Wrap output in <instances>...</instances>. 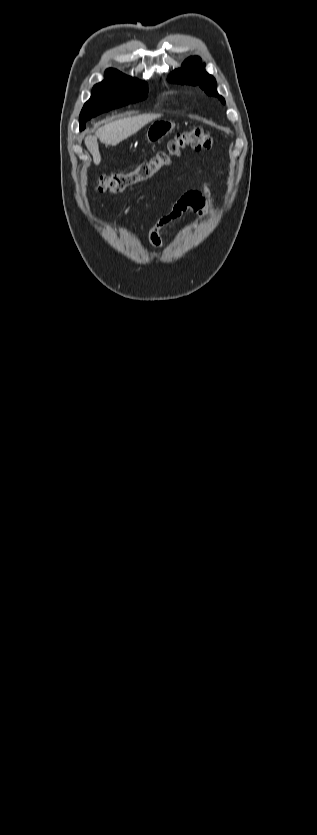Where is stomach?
<instances>
[{
    "instance_id": "0dacf381",
    "label": "stomach",
    "mask_w": 317,
    "mask_h": 835,
    "mask_svg": "<svg viewBox=\"0 0 317 835\" xmlns=\"http://www.w3.org/2000/svg\"><path fill=\"white\" fill-rule=\"evenodd\" d=\"M175 128V123L169 120H160L153 122L147 130V140L150 144L160 142L164 137L170 134Z\"/></svg>"
}]
</instances>
